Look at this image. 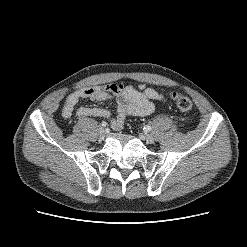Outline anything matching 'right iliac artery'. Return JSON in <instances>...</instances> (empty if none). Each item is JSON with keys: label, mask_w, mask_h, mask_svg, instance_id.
Wrapping results in <instances>:
<instances>
[{"label": "right iliac artery", "mask_w": 247, "mask_h": 247, "mask_svg": "<svg viewBox=\"0 0 247 247\" xmlns=\"http://www.w3.org/2000/svg\"><path fill=\"white\" fill-rule=\"evenodd\" d=\"M107 123L105 121L102 122V126L105 127Z\"/></svg>", "instance_id": "obj_1"}]
</instances>
